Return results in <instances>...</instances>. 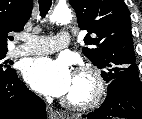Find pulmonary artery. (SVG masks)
<instances>
[{
    "mask_svg": "<svg viewBox=\"0 0 142 119\" xmlns=\"http://www.w3.org/2000/svg\"><path fill=\"white\" fill-rule=\"evenodd\" d=\"M22 45L14 48L12 56H26L34 54L53 53L70 43L71 37L68 32L63 31L55 37H39L35 35L21 36Z\"/></svg>",
    "mask_w": 142,
    "mask_h": 119,
    "instance_id": "e3ab8cb5",
    "label": "pulmonary artery"
}]
</instances>
